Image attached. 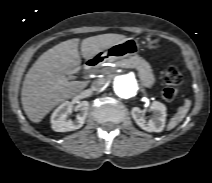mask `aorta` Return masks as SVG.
<instances>
[{
	"instance_id": "aorta-1",
	"label": "aorta",
	"mask_w": 212,
	"mask_h": 183,
	"mask_svg": "<svg viewBox=\"0 0 212 183\" xmlns=\"http://www.w3.org/2000/svg\"><path fill=\"white\" fill-rule=\"evenodd\" d=\"M114 90L118 97L129 99L138 91V81L132 75H120L114 80Z\"/></svg>"
}]
</instances>
